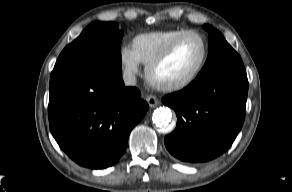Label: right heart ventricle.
Here are the masks:
<instances>
[{"instance_id":"right-heart-ventricle-1","label":"right heart ventricle","mask_w":292,"mask_h":192,"mask_svg":"<svg viewBox=\"0 0 292 192\" xmlns=\"http://www.w3.org/2000/svg\"><path fill=\"white\" fill-rule=\"evenodd\" d=\"M187 30L182 28L168 29L141 33L134 37L132 48L139 61L147 65L156 57L175 37Z\"/></svg>"}]
</instances>
